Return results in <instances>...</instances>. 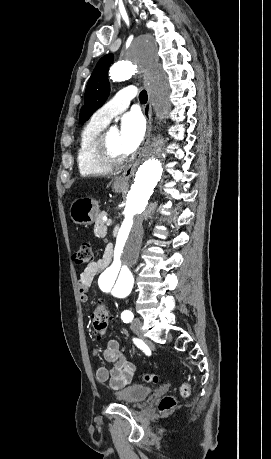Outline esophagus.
<instances>
[{"mask_svg": "<svg viewBox=\"0 0 271 459\" xmlns=\"http://www.w3.org/2000/svg\"><path fill=\"white\" fill-rule=\"evenodd\" d=\"M140 70L143 72V84L148 93V100L143 107V114L147 121V131L145 134V138L142 142L141 147L139 148L138 152L134 156V159L129 163L126 170L123 172L120 177H117L114 181V185H127L128 180L135 172L136 168L138 167L139 163L143 160V155L145 148L150 142L151 133H152V92L148 77V71L144 67H140Z\"/></svg>", "mask_w": 271, "mask_h": 459, "instance_id": "obj_1", "label": "esophagus"}]
</instances>
